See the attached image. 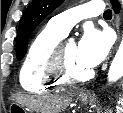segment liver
Returning a JSON list of instances; mask_svg holds the SVG:
<instances>
[{"label":"liver","mask_w":123,"mask_h":113,"mask_svg":"<svg viewBox=\"0 0 123 113\" xmlns=\"http://www.w3.org/2000/svg\"><path fill=\"white\" fill-rule=\"evenodd\" d=\"M13 99L21 106H26L38 113H60L72 102V95L56 96H15Z\"/></svg>","instance_id":"obj_1"}]
</instances>
